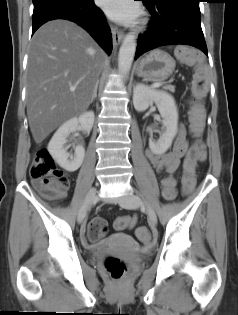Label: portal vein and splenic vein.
<instances>
[{
  "label": "portal vein and splenic vein",
  "mask_w": 238,
  "mask_h": 315,
  "mask_svg": "<svg viewBox=\"0 0 238 315\" xmlns=\"http://www.w3.org/2000/svg\"><path fill=\"white\" fill-rule=\"evenodd\" d=\"M163 84V82H156V83H154L152 86L153 87H159V86H161ZM75 87H70V91H75Z\"/></svg>",
  "instance_id": "obj_1"
}]
</instances>
